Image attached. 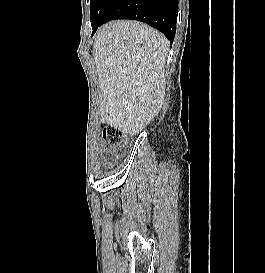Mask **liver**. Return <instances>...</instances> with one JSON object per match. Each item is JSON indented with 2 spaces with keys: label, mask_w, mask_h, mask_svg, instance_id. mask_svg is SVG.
<instances>
[{
  "label": "liver",
  "mask_w": 265,
  "mask_h": 273,
  "mask_svg": "<svg viewBox=\"0 0 265 273\" xmlns=\"http://www.w3.org/2000/svg\"><path fill=\"white\" fill-rule=\"evenodd\" d=\"M93 48L101 117L133 136L163 105L169 42L144 23L118 20L97 31Z\"/></svg>",
  "instance_id": "liver-1"
}]
</instances>
